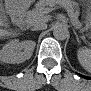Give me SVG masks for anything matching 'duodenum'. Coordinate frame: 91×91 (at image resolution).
<instances>
[{
  "instance_id": "obj_1",
  "label": "duodenum",
  "mask_w": 91,
  "mask_h": 91,
  "mask_svg": "<svg viewBox=\"0 0 91 91\" xmlns=\"http://www.w3.org/2000/svg\"><path fill=\"white\" fill-rule=\"evenodd\" d=\"M13 17L15 22L19 25L22 26L24 25L25 21H24V15L21 12H14L13 13Z\"/></svg>"
}]
</instances>
